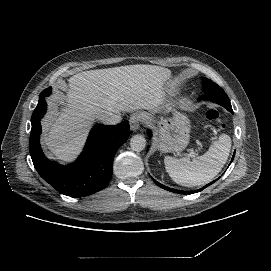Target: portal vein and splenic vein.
Returning a JSON list of instances; mask_svg holds the SVG:
<instances>
[{
	"label": "portal vein and splenic vein",
	"instance_id": "portal-vein-and-splenic-vein-1",
	"mask_svg": "<svg viewBox=\"0 0 271 271\" xmlns=\"http://www.w3.org/2000/svg\"><path fill=\"white\" fill-rule=\"evenodd\" d=\"M188 155H189L190 157H195V156H196V153H195L194 151H192V152H190Z\"/></svg>",
	"mask_w": 271,
	"mask_h": 271
}]
</instances>
